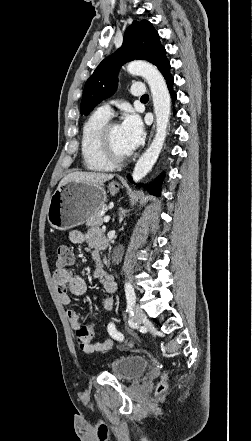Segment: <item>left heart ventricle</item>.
<instances>
[{"label": "left heart ventricle", "instance_id": "left-heart-ventricle-1", "mask_svg": "<svg viewBox=\"0 0 252 441\" xmlns=\"http://www.w3.org/2000/svg\"><path fill=\"white\" fill-rule=\"evenodd\" d=\"M110 145L112 148V151L118 155V156H125L128 155L127 151L124 148L123 141H122V135L120 126L116 125L112 127L110 131Z\"/></svg>", "mask_w": 252, "mask_h": 441}]
</instances>
